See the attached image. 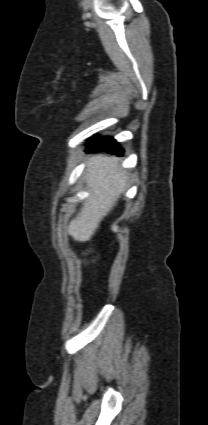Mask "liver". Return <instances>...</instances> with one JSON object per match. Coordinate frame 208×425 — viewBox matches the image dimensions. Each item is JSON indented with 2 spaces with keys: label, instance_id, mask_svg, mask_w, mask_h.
<instances>
[{
  "label": "liver",
  "instance_id": "1",
  "mask_svg": "<svg viewBox=\"0 0 208 425\" xmlns=\"http://www.w3.org/2000/svg\"><path fill=\"white\" fill-rule=\"evenodd\" d=\"M127 173L112 157L96 155L89 158L86 183L91 190L80 213L71 220L68 233L75 241H89L100 222L116 205L126 190Z\"/></svg>",
  "mask_w": 208,
  "mask_h": 425
}]
</instances>
